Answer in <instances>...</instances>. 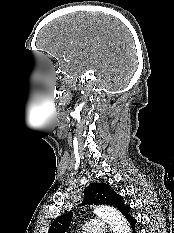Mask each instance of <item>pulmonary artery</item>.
<instances>
[{"instance_id": "obj_1", "label": "pulmonary artery", "mask_w": 174, "mask_h": 233, "mask_svg": "<svg viewBox=\"0 0 174 233\" xmlns=\"http://www.w3.org/2000/svg\"><path fill=\"white\" fill-rule=\"evenodd\" d=\"M106 229V223L99 219L90 220L85 224V230L88 233H105Z\"/></svg>"}]
</instances>
